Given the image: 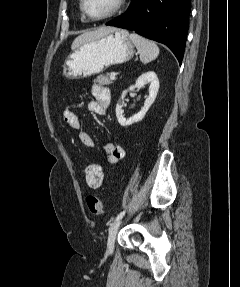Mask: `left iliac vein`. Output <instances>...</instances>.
<instances>
[{"instance_id": "4c4485c4", "label": "left iliac vein", "mask_w": 240, "mask_h": 287, "mask_svg": "<svg viewBox=\"0 0 240 287\" xmlns=\"http://www.w3.org/2000/svg\"><path fill=\"white\" fill-rule=\"evenodd\" d=\"M120 224L121 220L116 221L109 230L108 241H107V250L109 252L113 251L116 234Z\"/></svg>"}]
</instances>
